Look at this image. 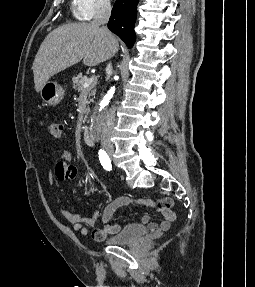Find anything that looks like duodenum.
<instances>
[{"label":"duodenum","instance_id":"duodenum-1","mask_svg":"<svg viewBox=\"0 0 255 287\" xmlns=\"http://www.w3.org/2000/svg\"><path fill=\"white\" fill-rule=\"evenodd\" d=\"M82 137L86 144L91 145L93 144V138L91 134V130L89 127H84L82 130Z\"/></svg>","mask_w":255,"mask_h":287}]
</instances>
